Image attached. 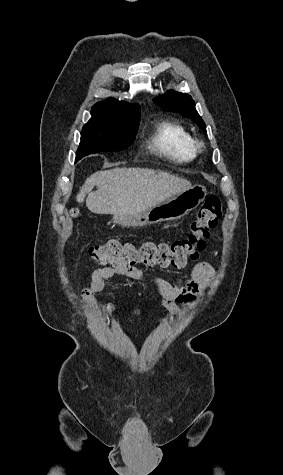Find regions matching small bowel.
<instances>
[{
  "mask_svg": "<svg viewBox=\"0 0 283 475\" xmlns=\"http://www.w3.org/2000/svg\"><path fill=\"white\" fill-rule=\"evenodd\" d=\"M115 276H125L155 287L162 295V304L172 310L176 303L186 304L196 309L199 300L216 276L215 267L209 262L202 261L195 264L191 279L184 285H175L154 274L147 273L136 266L125 264H111L96 269L92 274L91 284L83 290V297L89 310L98 308L95 294L102 291L106 280ZM113 314H126L137 317H148V311L132 307H123L116 303H106L102 307L101 318L109 323Z\"/></svg>",
  "mask_w": 283,
  "mask_h": 475,
  "instance_id": "1",
  "label": "small bowel"
}]
</instances>
